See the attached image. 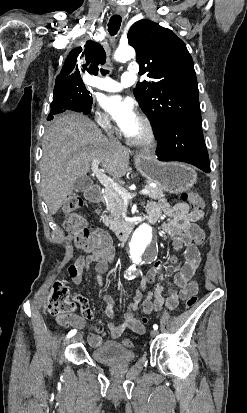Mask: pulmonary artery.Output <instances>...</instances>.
<instances>
[{"mask_svg":"<svg viewBox=\"0 0 247 413\" xmlns=\"http://www.w3.org/2000/svg\"><path fill=\"white\" fill-rule=\"evenodd\" d=\"M136 82L137 77L131 72H124L121 75L120 82L110 77L93 76L89 74H87L84 78V83L87 87H92L106 92H116L124 86L134 85Z\"/></svg>","mask_w":247,"mask_h":413,"instance_id":"pulmonary-artery-1","label":"pulmonary artery"}]
</instances>
